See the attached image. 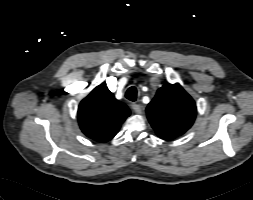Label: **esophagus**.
<instances>
[{
    "label": "esophagus",
    "instance_id": "obj_1",
    "mask_svg": "<svg viewBox=\"0 0 253 200\" xmlns=\"http://www.w3.org/2000/svg\"><path fill=\"white\" fill-rule=\"evenodd\" d=\"M132 109L134 110L135 113L140 114L142 112V107L138 104H132Z\"/></svg>",
    "mask_w": 253,
    "mask_h": 200
}]
</instances>
